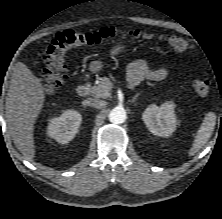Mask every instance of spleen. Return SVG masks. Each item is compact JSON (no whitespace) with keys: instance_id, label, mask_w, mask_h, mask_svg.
<instances>
[{"instance_id":"spleen-1","label":"spleen","mask_w":222,"mask_h":219,"mask_svg":"<svg viewBox=\"0 0 222 219\" xmlns=\"http://www.w3.org/2000/svg\"><path fill=\"white\" fill-rule=\"evenodd\" d=\"M216 123V115L213 112H209L206 114L203 123L199 127L197 131V135L194 139L193 145L189 150V155L193 156L197 153L209 140L212 136V132L214 130Z\"/></svg>"}]
</instances>
